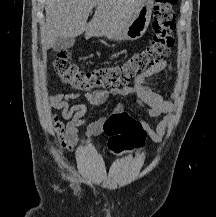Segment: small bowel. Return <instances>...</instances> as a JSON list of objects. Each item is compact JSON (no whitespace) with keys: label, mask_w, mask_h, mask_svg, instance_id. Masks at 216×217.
Instances as JSON below:
<instances>
[{"label":"small bowel","mask_w":216,"mask_h":217,"mask_svg":"<svg viewBox=\"0 0 216 217\" xmlns=\"http://www.w3.org/2000/svg\"><path fill=\"white\" fill-rule=\"evenodd\" d=\"M171 70L172 64L162 60L138 75L133 86L99 89L86 92L82 97L78 92L52 95L50 97V106L55 110H60L62 117L68 121L62 135L65 143L74 145L79 142L78 127L83 124H87L86 140L88 142L94 141L97 136L105 131L106 123L111 118L121 114H126L136 120L143 128L145 135H148L153 142H162L170 124V113L173 105L171 101L164 99L151 89L150 80L161 73L170 72ZM113 97H124L126 100L133 99L140 107L145 108L151 117H158L162 114H167V116L158 123L156 128H151L145 120L127 114L124 111L125 102H122L109 114L99 116L91 121L84 118L88 105L101 109ZM176 98L177 95L172 93L171 100L175 101Z\"/></svg>","instance_id":"obj_1"}]
</instances>
